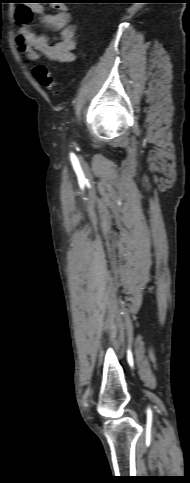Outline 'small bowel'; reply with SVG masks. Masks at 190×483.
<instances>
[{"label":"small bowel","mask_w":190,"mask_h":483,"mask_svg":"<svg viewBox=\"0 0 190 483\" xmlns=\"http://www.w3.org/2000/svg\"><path fill=\"white\" fill-rule=\"evenodd\" d=\"M55 9V13L49 14L37 4H23L17 7L15 18L20 24V29L15 42L18 50L28 60L36 61L40 54L50 61L61 64L75 60V27L71 24V15L61 4H57ZM33 14L39 15L48 28L58 31V41L55 44L50 45L45 35H37L29 28L28 23Z\"/></svg>","instance_id":"obj_1"}]
</instances>
